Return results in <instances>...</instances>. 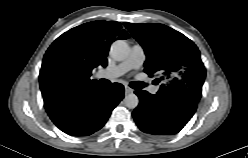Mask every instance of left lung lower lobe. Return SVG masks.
<instances>
[{"mask_svg": "<svg viewBox=\"0 0 248 158\" xmlns=\"http://www.w3.org/2000/svg\"><path fill=\"white\" fill-rule=\"evenodd\" d=\"M140 99L133 111L138 127L152 135L178 133L196 111L197 104L183 99H165L147 91H135Z\"/></svg>", "mask_w": 248, "mask_h": 158, "instance_id": "0a47b994", "label": "left lung lower lobe"}]
</instances>
